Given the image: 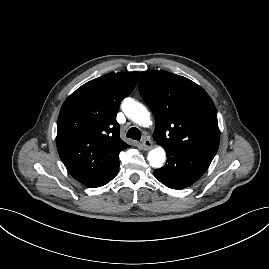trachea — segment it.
Wrapping results in <instances>:
<instances>
[{"mask_svg": "<svg viewBox=\"0 0 269 269\" xmlns=\"http://www.w3.org/2000/svg\"><path fill=\"white\" fill-rule=\"evenodd\" d=\"M126 137L139 141L141 139V131L136 127H132L128 130Z\"/></svg>", "mask_w": 269, "mask_h": 269, "instance_id": "obj_1", "label": "trachea"}]
</instances>
